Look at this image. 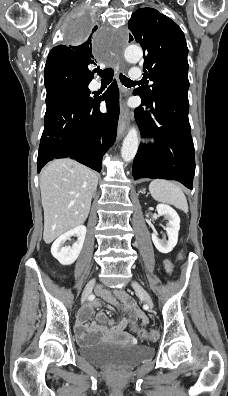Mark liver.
Segmentation results:
<instances>
[{"mask_svg":"<svg viewBox=\"0 0 228 396\" xmlns=\"http://www.w3.org/2000/svg\"><path fill=\"white\" fill-rule=\"evenodd\" d=\"M97 184V174L72 159H57L44 168L40 190L46 244L86 221Z\"/></svg>","mask_w":228,"mask_h":396,"instance_id":"6515ba94","label":"liver"}]
</instances>
